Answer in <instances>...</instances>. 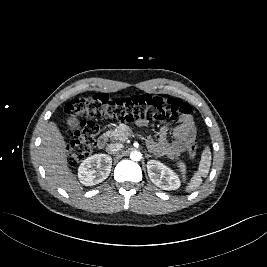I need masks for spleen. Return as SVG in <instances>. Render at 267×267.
<instances>
[{
	"label": "spleen",
	"instance_id": "3e777b00",
	"mask_svg": "<svg viewBox=\"0 0 267 267\" xmlns=\"http://www.w3.org/2000/svg\"><path fill=\"white\" fill-rule=\"evenodd\" d=\"M181 164L182 163H180V166L182 168V171L184 172V166ZM210 166H211V152H210L209 146H205V149L201 155L199 169L193 176L192 180L190 181L187 187V191H193L202 184L201 176H206L208 174Z\"/></svg>",
	"mask_w": 267,
	"mask_h": 267
}]
</instances>
